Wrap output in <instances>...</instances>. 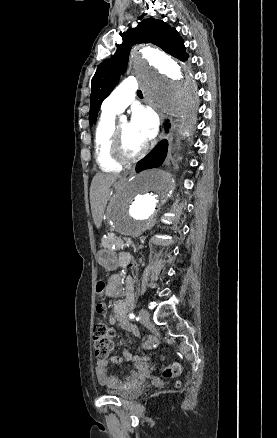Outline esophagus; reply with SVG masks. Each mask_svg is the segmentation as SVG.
I'll use <instances>...</instances> for the list:
<instances>
[{
    "instance_id": "esophagus-1",
    "label": "esophagus",
    "mask_w": 277,
    "mask_h": 438,
    "mask_svg": "<svg viewBox=\"0 0 277 438\" xmlns=\"http://www.w3.org/2000/svg\"><path fill=\"white\" fill-rule=\"evenodd\" d=\"M159 115H160V119H161L160 131H159V139H167L168 138V134L165 132V128H164V121L167 119V117H165L161 113H159ZM132 175H133V171H130L128 173V175H126V177H130Z\"/></svg>"
}]
</instances>
